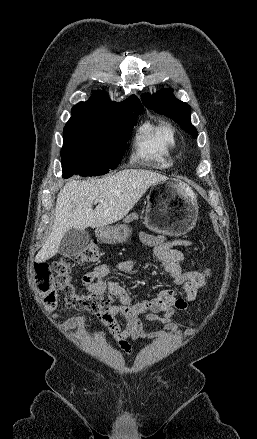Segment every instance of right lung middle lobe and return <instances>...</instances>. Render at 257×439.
Listing matches in <instances>:
<instances>
[{
    "mask_svg": "<svg viewBox=\"0 0 257 439\" xmlns=\"http://www.w3.org/2000/svg\"><path fill=\"white\" fill-rule=\"evenodd\" d=\"M139 113H129L120 119L71 117L63 135V177L103 175L115 169Z\"/></svg>",
    "mask_w": 257,
    "mask_h": 439,
    "instance_id": "dd1d6c3e",
    "label": "right lung middle lobe"
}]
</instances>
